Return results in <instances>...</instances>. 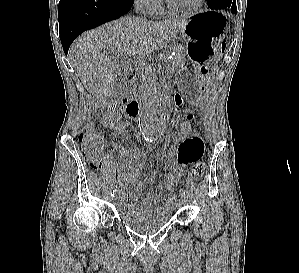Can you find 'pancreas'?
<instances>
[{
    "label": "pancreas",
    "instance_id": "pancreas-1",
    "mask_svg": "<svg viewBox=\"0 0 299 273\" xmlns=\"http://www.w3.org/2000/svg\"><path fill=\"white\" fill-rule=\"evenodd\" d=\"M186 62V51L182 45L175 47L174 54L169 60L167 70L169 72H174L175 70L183 67Z\"/></svg>",
    "mask_w": 299,
    "mask_h": 273
}]
</instances>
